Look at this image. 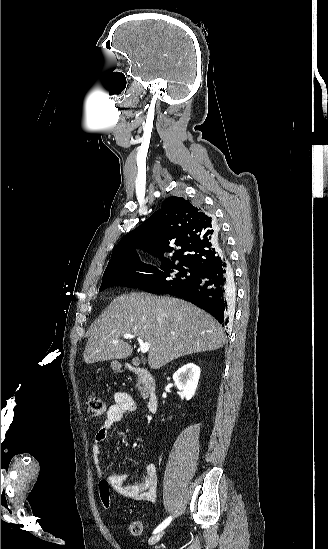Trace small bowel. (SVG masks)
I'll return each mask as SVG.
<instances>
[{"label": "small bowel", "mask_w": 328, "mask_h": 549, "mask_svg": "<svg viewBox=\"0 0 328 549\" xmlns=\"http://www.w3.org/2000/svg\"><path fill=\"white\" fill-rule=\"evenodd\" d=\"M113 404L108 408L102 426L97 430L92 443V460L98 476L103 475L101 467L102 443L110 429L120 422L125 415L137 410L133 398L126 392L118 391L113 395ZM129 473H112L106 478L109 486L119 495L134 501L154 502L156 499L157 471L153 463L145 464L141 477L133 482Z\"/></svg>", "instance_id": "1"}]
</instances>
